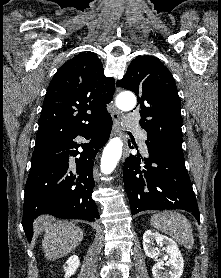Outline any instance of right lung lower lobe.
Wrapping results in <instances>:
<instances>
[{
    "label": "right lung lower lobe",
    "mask_w": 221,
    "mask_h": 278,
    "mask_svg": "<svg viewBox=\"0 0 221 278\" xmlns=\"http://www.w3.org/2000/svg\"><path fill=\"white\" fill-rule=\"evenodd\" d=\"M112 118L108 116L86 125L43 147L39 156L31 160L25 185L22 225L28 241L33 236L32 223L41 214L64 219L94 221L99 218L92 200L95 186L93 165L98 150L108 141ZM88 140L76 144L74 139ZM81 146V153L73 148ZM80 154L73 164L71 156Z\"/></svg>",
    "instance_id": "obj_1"
}]
</instances>
